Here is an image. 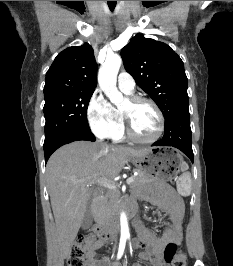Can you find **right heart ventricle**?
Listing matches in <instances>:
<instances>
[{"mask_svg": "<svg viewBox=\"0 0 233 266\" xmlns=\"http://www.w3.org/2000/svg\"><path fill=\"white\" fill-rule=\"evenodd\" d=\"M115 110H116L118 116L120 117V119H121V121H122V128H121L120 132H119L116 136L113 137V139L116 140V141H121V140H123V139L125 138V135H124L123 118H122L121 111L118 110V109H115Z\"/></svg>", "mask_w": 233, "mask_h": 266, "instance_id": "e07e8e85", "label": "right heart ventricle"}]
</instances>
